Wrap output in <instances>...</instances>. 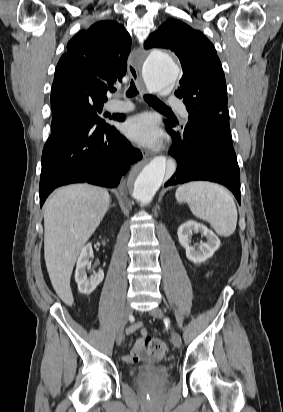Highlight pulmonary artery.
<instances>
[{
  "instance_id": "obj_1",
  "label": "pulmonary artery",
  "mask_w": 283,
  "mask_h": 412,
  "mask_svg": "<svg viewBox=\"0 0 283 412\" xmlns=\"http://www.w3.org/2000/svg\"><path fill=\"white\" fill-rule=\"evenodd\" d=\"M178 102L179 100L174 97H171L168 99V104L172 106L178 105ZM132 109H133L132 104L128 102H118L110 107V110L114 112H128V111H131ZM181 114L184 119L187 120L189 118V113L185 109L181 110Z\"/></svg>"
}]
</instances>
